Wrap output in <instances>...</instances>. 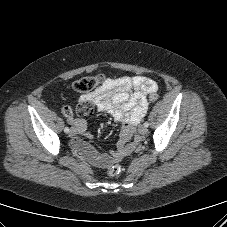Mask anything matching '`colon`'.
Masks as SVG:
<instances>
[{
  "label": "colon",
  "mask_w": 227,
  "mask_h": 227,
  "mask_svg": "<svg viewBox=\"0 0 227 227\" xmlns=\"http://www.w3.org/2000/svg\"><path fill=\"white\" fill-rule=\"evenodd\" d=\"M104 79L102 75H95V76H86L76 80L73 83V89L79 93H89L93 91L97 86L103 83ZM156 99V95L152 94L150 96V101H154ZM63 113L66 116L71 115V110L68 107L63 108ZM122 169L121 166L118 164L112 165L108 169V174L110 177H118L121 173Z\"/></svg>",
  "instance_id": "1"
}]
</instances>
